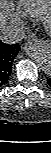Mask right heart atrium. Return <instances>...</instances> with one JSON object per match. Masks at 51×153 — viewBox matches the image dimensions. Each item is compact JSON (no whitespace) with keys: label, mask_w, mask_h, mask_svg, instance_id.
I'll return each instance as SVG.
<instances>
[{"label":"right heart atrium","mask_w":51,"mask_h":153,"mask_svg":"<svg viewBox=\"0 0 51 153\" xmlns=\"http://www.w3.org/2000/svg\"><path fill=\"white\" fill-rule=\"evenodd\" d=\"M11 20L14 24L21 28H25L26 26V17L22 13V11H16L10 15Z\"/></svg>","instance_id":"obj_1"}]
</instances>
